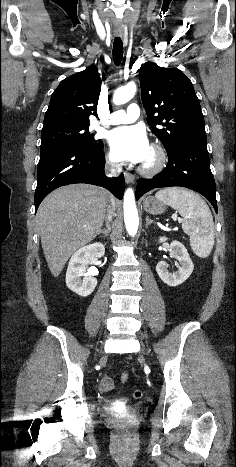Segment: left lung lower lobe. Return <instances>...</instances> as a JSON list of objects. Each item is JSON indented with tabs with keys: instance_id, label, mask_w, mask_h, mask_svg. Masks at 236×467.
Listing matches in <instances>:
<instances>
[{
	"instance_id": "1",
	"label": "left lung lower lobe",
	"mask_w": 236,
	"mask_h": 467,
	"mask_svg": "<svg viewBox=\"0 0 236 467\" xmlns=\"http://www.w3.org/2000/svg\"><path fill=\"white\" fill-rule=\"evenodd\" d=\"M168 158L167 167L161 173L151 179L138 180L136 199L154 188L182 186L202 194L217 212L216 187L206 137L181 141L168 153Z\"/></svg>"
}]
</instances>
